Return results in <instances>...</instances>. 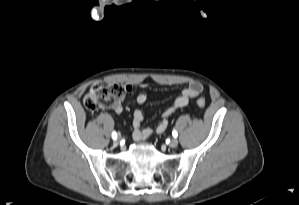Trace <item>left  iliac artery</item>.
Masks as SVG:
<instances>
[{
  "label": "left iliac artery",
  "mask_w": 299,
  "mask_h": 205,
  "mask_svg": "<svg viewBox=\"0 0 299 205\" xmlns=\"http://www.w3.org/2000/svg\"><path fill=\"white\" fill-rule=\"evenodd\" d=\"M172 135H173V137H177L178 136V133H177V131L176 130H173V132H172Z\"/></svg>",
  "instance_id": "44dca946"
}]
</instances>
